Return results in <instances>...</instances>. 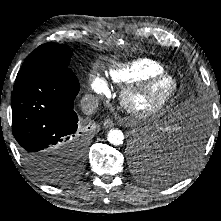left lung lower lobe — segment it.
Segmentation results:
<instances>
[{
	"label": "left lung lower lobe",
	"instance_id": "obj_1",
	"mask_svg": "<svg viewBox=\"0 0 221 221\" xmlns=\"http://www.w3.org/2000/svg\"><path fill=\"white\" fill-rule=\"evenodd\" d=\"M186 126L187 132L170 143H161L158 134L146 140H133V156L142 166H151L139 174L143 180L155 186H166L181 179L192 168L200 151L195 143L204 133V122H191ZM161 153H167V158H160Z\"/></svg>",
	"mask_w": 221,
	"mask_h": 221
}]
</instances>
